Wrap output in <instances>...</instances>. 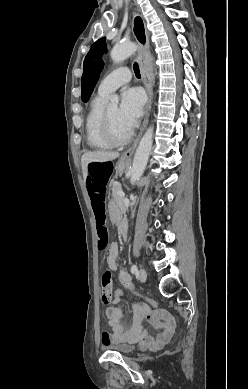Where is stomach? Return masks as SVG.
Wrapping results in <instances>:
<instances>
[{
  "label": "stomach",
  "mask_w": 248,
  "mask_h": 389,
  "mask_svg": "<svg viewBox=\"0 0 248 389\" xmlns=\"http://www.w3.org/2000/svg\"><path fill=\"white\" fill-rule=\"evenodd\" d=\"M128 163L125 162V161H122V160H119L117 163H116V166H115V169L118 173H123V171L125 170V168L127 167ZM114 187L116 189H119L121 187V184L119 182H116L114 184ZM110 206H111V209L109 210V215H110V218L112 220H122L123 218V215L120 211V209H118V205L115 204V202L112 200L111 203H110Z\"/></svg>",
  "instance_id": "obj_1"
}]
</instances>
